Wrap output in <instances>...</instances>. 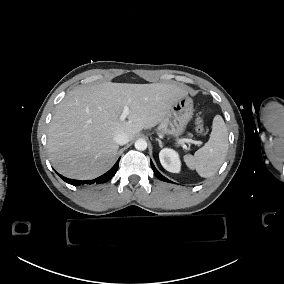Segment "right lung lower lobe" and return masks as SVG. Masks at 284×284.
Segmentation results:
<instances>
[{
    "mask_svg": "<svg viewBox=\"0 0 284 284\" xmlns=\"http://www.w3.org/2000/svg\"><path fill=\"white\" fill-rule=\"evenodd\" d=\"M120 160V158H119ZM119 160L115 163V165L105 174H103L102 176L94 179V180H89V181H81V180H73V179H68L66 177H63L62 175L58 174L64 181H66L69 184L72 185H83V184H98V183H105L107 181H109L116 173L117 169H118V164H119Z\"/></svg>",
    "mask_w": 284,
    "mask_h": 284,
    "instance_id": "1",
    "label": "right lung lower lobe"
}]
</instances>
